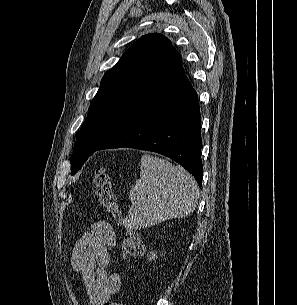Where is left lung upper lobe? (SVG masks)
Here are the masks:
<instances>
[{
  "mask_svg": "<svg viewBox=\"0 0 297 305\" xmlns=\"http://www.w3.org/2000/svg\"><path fill=\"white\" fill-rule=\"evenodd\" d=\"M182 57L161 34L138 39L108 70L93 98L71 156V174L107 139L127 108L158 81L184 75Z\"/></svg>",
  "mask_w": 297,
  "mask_h": 305,
  "instance_id": "left-lung-upper-lobe-1",
  "label": "left lung upper lobe"
}]
</instances>
